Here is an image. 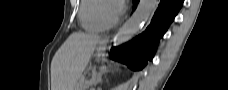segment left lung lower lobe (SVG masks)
I'll use <instances>...</instances> for the list:
<instances>
[{
    "label": "left lung lower lobe",
    "instance_id": "0a47b994",
    "mask_svg": "<svg viewBox=\"0 0 228 90\" xmlns=\"http://www.w3.org/2000/svg\"><path fill=\"white\" fill-rule=\"evenodd\" d=\"M139 0H133L136 9ZM183 0H160L158 8L146 30L131 42L112 48L110 58L120 61L134 71L142 70L154 56L160 38L174 20Z\"/></svg>",
    "mask_w": 228,
    "mask_h": 90
}]
</instances>
